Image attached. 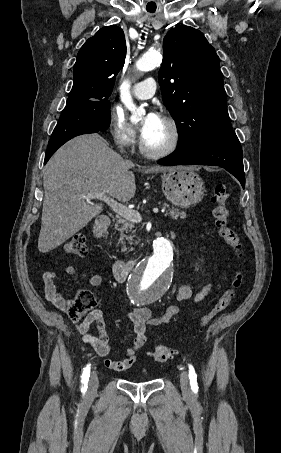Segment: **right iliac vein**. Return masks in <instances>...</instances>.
<instances>
[{
    "label": "right iliac vein",
    "instance_id": "1",
    "mask_svg": "<svg viewBox=\"0 0 281 453\" xmlns=\"http://www.w3.org/2000/svg\"><path fill=\"white\" fill-rule=\"evenodd\" d=\"M89 378L90 381L88 391L89 393H96L98 389L99 378L97 377L96 374H91Z\"/></svg>",
    "mask_w": 281,
    "mask_h": 453
}]
</instances>
